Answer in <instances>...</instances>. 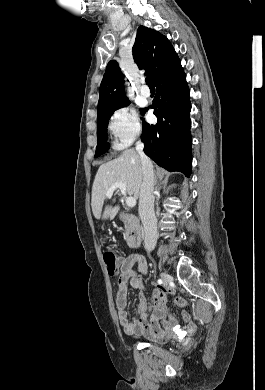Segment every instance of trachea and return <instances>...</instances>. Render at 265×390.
I'll return each instance as SVG.
<instances>
[{
    "instance_id": "3493384b",
    "label": "trachea",
    "mask_w": 265,
    "mask_h": 390,
    "mask_svg": "<svg viewBox=\"0 0 265 390\" xmlns=\"http://www.w3.org/2000/svg\"><path fill=\"white\" fill-rule=\"evenodd\" d=\"M145 81H146V84H147L149 87H154L153 82H152V79H151L149 76L146 77Z\"/></svg>"
}]
</instances>
